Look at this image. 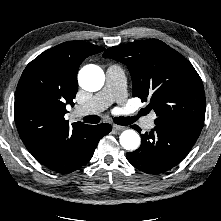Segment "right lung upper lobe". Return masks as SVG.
Masks as SVG:
<instances>
[{"mask_svg":"<svg viewBox=\"0 0 221 221\" xmlns=\"http://www.w3.org/2000/svg\"><path fill=\"white\" fill-rule=\"evenodd\" d=\"M103 47L83 41L59 44L30 62L15 93V123L28 151L41 163L58 159L73 137L89 125L64 119L66 104L78 90L77 72L90 55Z\"/></svg>","mask_w":221,"mask_h":221,"instance_id":"obj_1","label":"right lung upper lobe"}]
</instances>
